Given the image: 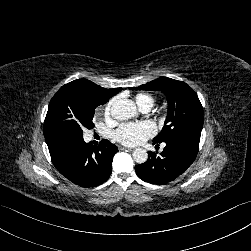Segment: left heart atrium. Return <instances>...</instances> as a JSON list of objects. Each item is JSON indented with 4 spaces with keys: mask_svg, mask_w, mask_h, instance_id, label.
Returning <instances> with one entry per match:
<instances>
[{
    "mask_svg": "<svg viewBox=\"0 0 251 251\" xmlns=\"http://www.w3.org/2000/svg\"><path fill=\"white\" fill-rule=\"evenodd\" d=\"M156 133V126L151 121L121 124L114 132V139L124 145L140 144Z\"/></svg>",
    "mask_w": 251,
    "mask_h": 251,
    "instance_id": "39dd6f15",
    "label": "left heart atrium"
}]
</instances>
